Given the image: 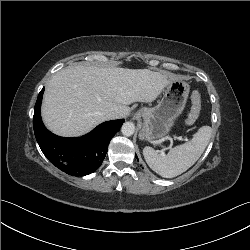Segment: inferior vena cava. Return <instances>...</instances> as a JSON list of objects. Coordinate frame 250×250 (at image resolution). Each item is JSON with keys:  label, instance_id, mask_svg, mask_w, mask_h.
Segmentation results:
<instances>
[{"label": "inferior vena cava", "instance_id": "1", "mask_svg": "<svg viewBox=\"0 0 250 250\" xmlns=\"http://www.w3.org/2000/svg\"><path fill=\"white\" fill-rule=\"evenodd\" d=\"M108 119H117L118 118V114L115 111H110L106 114Z\"/></svg>", "mask_w": 250, "mask_h": 250}]
</instances>
